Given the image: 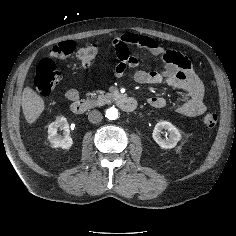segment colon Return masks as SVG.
Returning a JSON list of instances; mask_svg holds the SVG:
<instances>
[{"label":"colon","instance_id":"5ec220e1","mask_svg":"<svg viewBox=\"0 0 236 236\" xmlns=\"http://www.w3.org/2000/svg\"><path fill=\"white\" fill-rule=\"evenodd\" d=\"M75 51V44L72 41H65L50 48V56L63 60ZM99 53V46L94 43L86 44L77 50V58L85 65H90ZM62 81L61 73L56 69L51 59H43L37 66L35 76V87L39 94L48 96L55 91ZM218 122L215 113L208 112L202 117V123L207 128H214Z\"/></svg>","mask_w":236,"mask_h":236}]
</instances>
